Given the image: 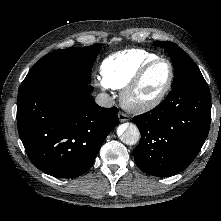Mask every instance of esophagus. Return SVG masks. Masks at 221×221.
Here are the masks:
<instances>
[{"label": "esophagus", "instance_id": "1", "mask_svg": "<svg viewBox=\"0 0 221 221\" xmlns=\"http://www.w3.org/2000/svg\"><path fill=\"white\" fill-rule=\"evenodd\" d=\"M118 118L121 122H125V121L129 120L128 115L123 112H119Z\"/></svg>", "mask_w": 221, "mask_h": 221}]
</instances>
